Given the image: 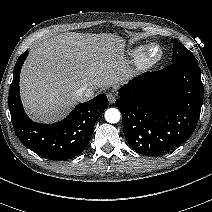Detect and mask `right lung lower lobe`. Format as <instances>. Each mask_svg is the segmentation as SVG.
Returning a JSON list of instances; mask_svg holds the SVG:
<instances>
[{
  "label": "right lung lower lobe",
  "mask_w": 212,
  "mask_h": 212,
  "mask_svg": "<svg viewBox=\"0 0 212 212\" xmlns=\"http://www.w3.org/2000/svg\"><path fill=\"white\" fill-rule=\"evenodd\" d=\"M27 55L28 51L18 58L9 90V110L15 133L26 147L41 157L50 160L74 158L90 141L95 122L108 107L107 96L99 94L77 105L64 120L54 124L31 121L24 112L19 92L20 70Z\"/></svg>",
  "instance_id": "obj_1"
}]
</instances>
